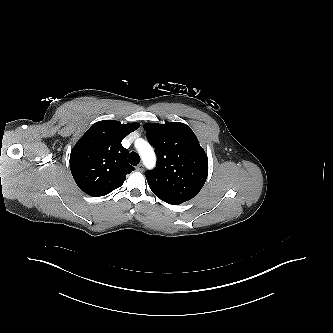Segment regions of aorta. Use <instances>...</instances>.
Segmentation results:
<instances>
[{"label":"aorta","instance_id":"obj_1","mask_svg":"<svg viewBox=\"0 0 333 333\" xmlns=\"http://www.w3.org/2000/svg\"><path fill=\"white\" fill-rule=\"evenodd\" d=\"M135 146L141 156L144 165L148 169L153 168L156 164V156L151 145L144 139H137Z\"/></svg>","mask_w":333,"mask_h":333}]
</instances>
